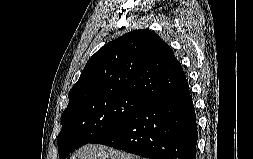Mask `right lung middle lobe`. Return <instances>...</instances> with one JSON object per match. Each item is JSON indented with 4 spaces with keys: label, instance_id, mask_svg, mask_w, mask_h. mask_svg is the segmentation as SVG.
<instances>
[{
    "label": "right lung middle lobe",
    "instance_id": "obj_1",
    "mask_svg": "<svg viewBox=\"0 0 253 159\" xmlns=\"http://www.w3.org/2000/svg\"><path fill=\"white\" fill-rule=\"evenodd\" d=\"M150 100L135 94L94 95L69 102L57 138L60 159L117 128Z\"/></svg>",
    "mask_w": 253,
    "mask_h": 159
}]
</instances>
